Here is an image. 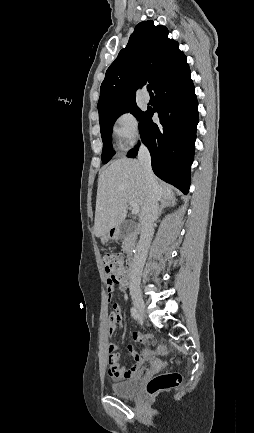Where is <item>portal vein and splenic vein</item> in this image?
I'll use <instances>...</instances> for the list:
<instances>
[{
    "label": "portal vein and splenic vein",
    "instance_id": "18ae733b",
    "mask_svg": "<svg viewBox=\"0 0 254 433\" xmlns=\"http://www.w3.org/2000/svg\"><path fill=\"white\" fill-rule=\"evenodd\" d=\"M129 205L131 206V208H132V214H138L139 213V211H140V208H139V206L136 204V203H134V202H129Z\"/></svg>",
    "mask_w": 254,
    "mask_h": 433
}]
</instances>
